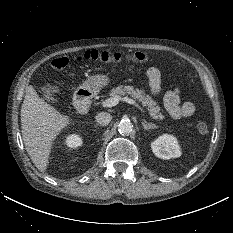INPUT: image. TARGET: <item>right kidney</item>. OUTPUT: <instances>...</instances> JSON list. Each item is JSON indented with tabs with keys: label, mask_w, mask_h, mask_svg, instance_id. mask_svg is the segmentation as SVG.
I'll return each mask as SVG.
<instances>
[{
	"label": "right kidney",
	"mask_w": 233,
	"mask_h": 233,
	"mask_svg": "<svg viewBox=\"0 0 233 233\" xmlns=\"http://www.w3.org/2000/svg\"><path fill=\"white\" fill-rule=\"evenodd\" d=\"M65 143L67 147L71 149H76L82 145L83 141L82 137H80L79 135L71 134L66 138Z\"/></svg>",
	"instance_id": "right-kidney-1"
}]
</instances>
